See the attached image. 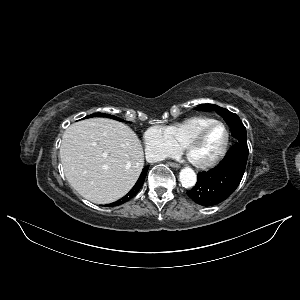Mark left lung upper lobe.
I'll return each mask as SVG.
<instances>
[{
	"label": "left lung upper lobe",
	"mask_w": 300,
	"mask_h": 300,
	"mask_svg": "<svg viewBox=\"0 0 300 300\" xmlns=\"http://www.w3.org/2000/svg\"><path fill=\"white\" fill-rule=\"evenodd\" d=\"M198 109L202 111L214 110L225 120V122L231 128L232 136L235 138V143H247L246 128L236 114L214 104H201L198 106L197 110Z\"/></svg>",
	"instance_id": "left-lung-upper-lobe-1"
}]
</instances>
